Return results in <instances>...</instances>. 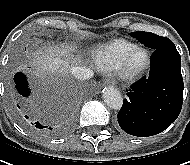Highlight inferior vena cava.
Segmentation results:
<instances>
[{
	"instance_id": "obj_1",
	"label": "inferior vena cava",
	"mask_w": 190,
	"mask_h": 165,
	"mask_svg": "<svg viewBox=\"0 0 190 165\" xmlns=\"http://www.w3.org/2000/svg\"><path fill=\"white\" fill-rule=\"evenodd\" d=\"M71 72L79 80H88L93 76V72L86 67H72Z\"/></svg>"
}]
</instances>
